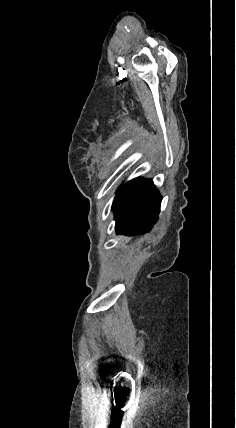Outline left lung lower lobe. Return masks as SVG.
<instances>
[{
  "label": "left lung lower lobe",
  "instance_id": "left-lung-lower-lobe-1",
  "mask_svg": "<svg viewBox=\"0 0 236 428\" xmlns=\"http://www.w3.org/2000/svg\"><path fill=\"white\" fill-rule=\"evenodd\" d=\"M162 196L151 179L135 178L119 187L112 204L116 233L147 232L158 220Z\"/></svg>",
  "mask_w": 236,
  "mask_h": 428
}]
</instances>
